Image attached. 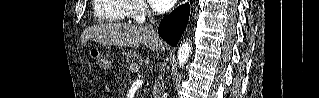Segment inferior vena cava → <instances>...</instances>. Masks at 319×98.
Listing matches in <instances>:
<instances>
[{
	"label": "inferior vena cava",
	"mask_w": 319,
	"mask_h": 98,
	"mask_svg": "<svg viewBox=\"0 0 319 98\" xmlns=\"http://www.w3.org/2000/svg\"><path fill=\"white\" fill-rule=\"evenodd\" d=\"M150 33L154 36H157V33L156 31L153 29V26L150 24L146 27ZM158 37V36H157ZM162 92H163V77L162 75L160 74L157 78V81L155 83V86H154V90H153V97L154 98H161V95H162Z\"/></svg>",
	"instance_id": "1"
}]
</instances>
